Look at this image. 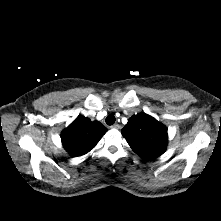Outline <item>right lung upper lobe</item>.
I'll return each mask as SVG.
<instances>
[{"label":"right lung upper lobe","instance_id":"1","mask_svg":"<svg viewBox=\"0 0 221 221\" xmlns=\"http://www.w3.org/2000/svg\"><path fill=\"white\" fill-rule=\"evenodd\" d=\"M107 132L100 122H92L89 118L78 116L62 133L63 147L73 157L86 154Z\"/></svg>","mask_w":221,"mask_h":221}]
</instances>
